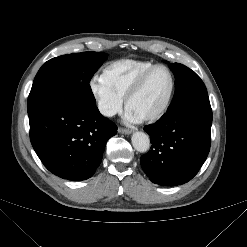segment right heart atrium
I'll return each instance as SVG.
<instances>
[{
  "label": "right heart atrium",
  "mask_w": 247,
  "mask_h": 247,
  "mask_svg": "<svg viewBox=\"0 0 247 247\" xmlns=\"http://www.w3.org/2000/svg\"><path fill=\"white\" fill-rule=\"evenodd\" d=\"M90 88L102 115L112 117L122 110L123 96L115 89L105 72L91 78Z\"/></svg>",
  "instance_id": "obj_1"
}]
</instances>
